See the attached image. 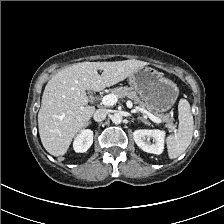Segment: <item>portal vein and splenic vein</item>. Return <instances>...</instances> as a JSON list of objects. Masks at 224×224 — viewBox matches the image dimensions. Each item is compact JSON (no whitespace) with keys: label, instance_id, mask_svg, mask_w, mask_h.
Returning <instances> with one entry per match:
<instances>
[{"label":"portal vein and splenic vein","instance_id":"portal-vein-and-splenic-vein-1","mask_svg":"<svg viewBox=\"0 0 224 224\" xmlns=\"http://www.w3.org/2000/svg\"><path fill=\"white\" fill-rule=\"evenodd\" d=\"M118 101V98L116 95L114 94H108V95H105L103 98H102V104L103 105H106V106H112L114 105L116 102ZM127 107L128 108H132L133 107V103L131 101H127L126 103ZM135 111H139L141 112L142 114L146 115L148 118H150L153 122H156V123H161L162 120L156 116H154L152 113H150L149 111H147L146 109L144 108H141L139 106H135Z\"/></svg>","mask_w":224,"mask_h":224}]
</instances>
